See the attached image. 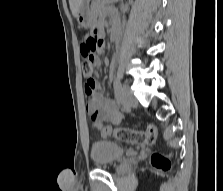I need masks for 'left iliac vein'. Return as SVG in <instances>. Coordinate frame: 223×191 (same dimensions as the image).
Returning a JSON list of instances; mask_svg holds the SVG:
<instances>
[{
  "label": "left iliac vein",
  "mask_w": 223,
  "mask_h": 191,
  "mask_svg": "<svg viewBox=\"0 0 223 191\" xmlns=\"http://www.w3.org/2000/svg\"><path fill=\"white\" fill-rule=\"evenodd\" d=\"M121 102L127 108H134L137 106V99L126 85L121 87Z\"/></svg>",
  "instance_id": "left-iliac-vein-1"
}]
</instances>
